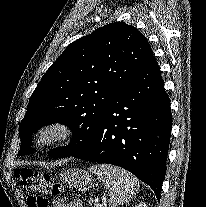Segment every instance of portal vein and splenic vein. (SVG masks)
<instances>
[{
	"label": "portal vein and splenic vein",
	"mask_w": 206,
	"mask_h": 207,
	"mask_svg": "<svg viewBox=\"0 0 206 207\" xmlns=\"http://www.w3.org/2000/svg\"><path fill=\"white\" fill-rule=\"evenodd\" d=\"M102 205L106 206V202L104 201Z\"/></svg>",
	"instance_id": "1"
}]
</instances>
